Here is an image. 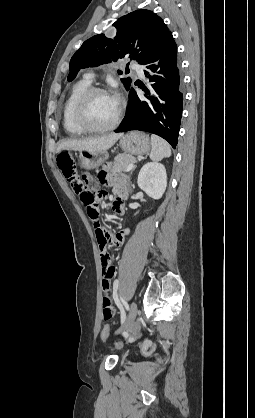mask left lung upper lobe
<instances>
[{
    "mask_svg": "<svg viewBox=\"0 0 255 418\" xmlns=\"http://www.w3.org/2000/svg\"><path fill=\"white\" fill-rule=\"evenodd\" d=\"M113 26L114 39L104 34L86 40L70 60L68 81H72L81 68L96 67L128 57L139 64L160 52L173 37L163 20L152 11L140 9L119 18ZM118 74L122 71L118 70ZM129 90L130 77L121 79Z\"/></svg>",
    "mask_w": 255,
    "mask_h": 418,
    "instance_id": "left-lung-upper-lobe-1",
    "label": "left lung upper lobe"
}]
</instances>
